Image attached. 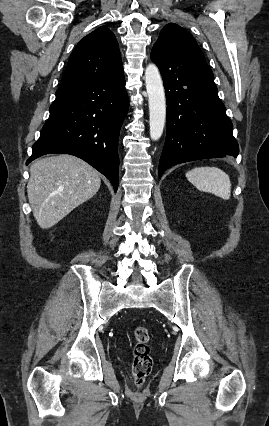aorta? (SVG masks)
Returning <instances> with one entry per match:
<instances>
[{
	"mask_svg": "<svg viewBox=\"0 0 269 426\" xmlns=\"http://www.w3.org/2000/svg\"><path fill=\"white\" fill-rule=\"evenodd\" d=\"M145 83L149 103L150 138L160 139L166 120V100L162 78L157 66L149 64L145 69Z\"/></svg>",
	"mask_w": 269,
	"mask_h": 426,
	"instance_id": "1",
	"label": "aorta"
}]
</instances>
